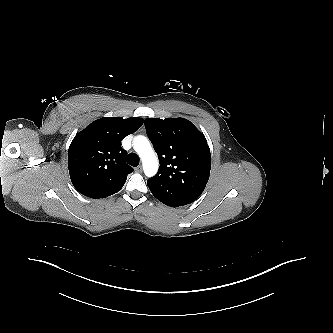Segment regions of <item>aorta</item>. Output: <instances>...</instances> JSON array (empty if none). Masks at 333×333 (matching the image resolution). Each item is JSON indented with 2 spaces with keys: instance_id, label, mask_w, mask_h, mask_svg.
Masks as SVG:
<instances>
[{
  "instance_id": "aorta-1",
  "label": "aorta",
  "mask_w": 333,
  "mask_h": 333,
  "mask_svg": "<svg viewBox=\"0 0 333 333\" xmlns=\"http://www.w3.org/2000/svg\"><path fill=\"white\" fill-rule=\"evenodd\" d=\"M133 148L142 160L145 175L154 176L158 171L159 163L149 140L145 136L138 135L133 139Z\"/></svg>"
}]
</instances>
